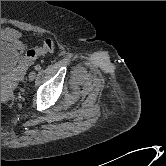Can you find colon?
I'll use <instances>...</instances> for the list:
<instances>
[{
	"instance_id": "5ec220e1",
	"label": "colon",
	"mask_w": 166,
	"mask_h": 166,
	"mask_svg": "<svg viewBox=\"0 0 166 166\" xmlns=\"http://www.w3.org/2000/svg\"><path fill=\"white\" fill-rule=\"evenodd\" d=\"M55 49V43L51 39L44 40L43 44L40 47L31 49L27 51L25 55V60L30 62L36 59L39 56H42L48 52H52Z\"/></svg>"
}]
</instances>
